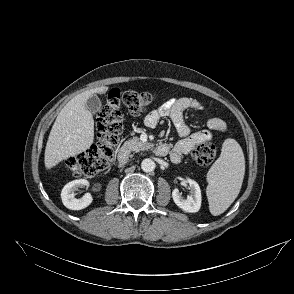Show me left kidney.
<instances>
[{
	"label": "left kidney",
	"mask_w": 294,
	"mask_h": 294,
	"mask_svg": "<svg viewBox=\"0 0 294 294\" xmlns=\"http://www.w3.org/2000/svg\"><path fill=\"white\" fill-rule=\"evenodd\" d=\"M191 189V195L187 198H183L178 189H174L172 192V198L175 204L185 212L195 213L198 212L201 207V190L198 183L192 179H187Z\"/></svg>",
	"instance_id": "5707ae66"
}]
</instances>
